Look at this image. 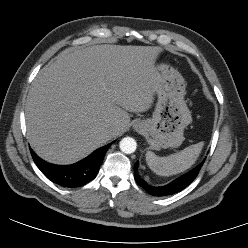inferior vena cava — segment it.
<instances>
[{
    "instance_id": "1",
    "label": "inferior vena cava",
    "mask_w": 248,
    "mask_h": 248,
    "mask_svg": "<svg viewBox=\"0 0 248 248\" xmlns=\"http://www.w3.org/2000/svg\"><path fill=\"white\" fill-rule=\"evenodd\" d=\"M113 132H114V129L113 128H109V129L106 130V134L107 135H112Z\"/></svg>"
}]
</instances>
